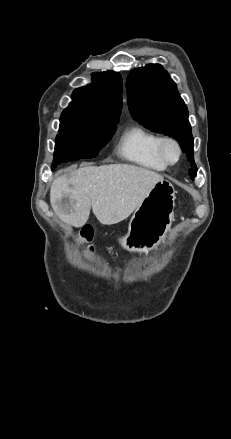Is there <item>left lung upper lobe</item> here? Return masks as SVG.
<instances>
[{
    "label": "left lung upper lobe",
    "mask_w": 231,
    "mask_h": 439,
    "mask_svg": "<svg viewBox=\"0 0 231 439\" xmlns=\"http://www.w3.org/2000/svg\"><path fill=\"white\" fill-rule=\"evenodd\" d=\"M126 87L132 117L151 131L176 139L191 163L190 178L196 177L188 110L167 71L159 64L136 68L128 75Z\"/></svg>",
    "instance_id": "left-lung-upper-lobe-1"
}]
</instances>
